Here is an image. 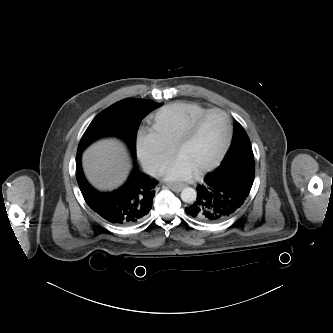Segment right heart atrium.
<instances>
[{"instance_id": "right-heart-atrium-1", "label": "right heart atrium", "mask_w": 333, "mask_h": 333, "mask_svg": "<svg viewBox=\"0 0 333 333\" xmlns=\"http://www.w3.org/2000/svg\"><path fill=\"white\" fill-rule=\"evenodd\" d=\"M137 154L152 175L160 174L172 155V148L153 129L141 128L137 135Z\"/></svg>"}]
</instances>
